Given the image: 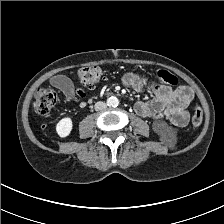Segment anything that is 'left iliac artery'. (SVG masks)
Masks as SVG:
<instances>
[{"instance_id": "1", "label": "left iliac artery", "mask_w": 224, "mask_h": 224, "mask_svg": "<svg viewBox=\"0 0 224 224\" xmlns=\"http://www.w3.org/2000/svg\"><path fill=\"white\" fill-rule=\"evenodd\" d=\"M118 104H119V101L116 99L115 100V106L117 107Z\"/></svg>"}]
</instances>
